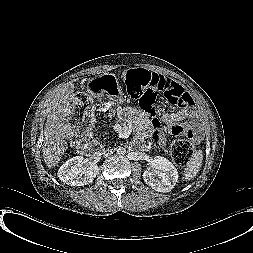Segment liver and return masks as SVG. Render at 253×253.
<instances>
[{
  "instance_id": "6515ba94",
  "label": "liver",
  "mask_w": 253,
  "mask_h": 253,
  "mask_svg": "<svg viewBox=\"0 0 253 253\" xmlns=\"http://www.w3.org/2000/svg\"><path fill=\"white\" fill-rule=\"evenodd\" d=\"M74 94V85L67 84L58 89L44 127L43 157L48 168L55 167L68 148L72 137L70 102Z\"/></svg>"
}]
</instances>
